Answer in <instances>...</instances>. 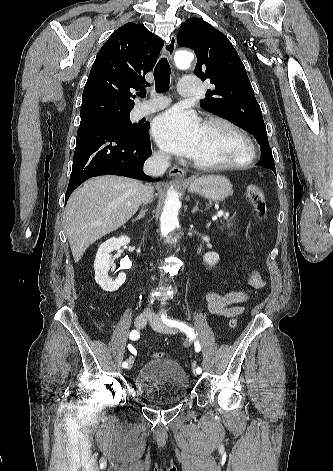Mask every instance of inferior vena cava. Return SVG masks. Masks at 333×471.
<instances>
[{
	"mask_svg": "<svg viewBox=\"0 0 333 471\" xmlns=\"http://www.w3.org/2000/svg\"><path fill=\"white\" fill-rule=\"evenodd\" d=\"M170 156L164 152L154 153L152 157L148 158L144 164V172L152 177H158L165 173L169 167ZM153 188L145 186L142 192V202L148 203L152 200ZM146 312H150L147 308Z\"/></svg>",
	"mask_w": 333,
	"mask_h": 471,
	"instance_id": "602c4592",
	"label": "inferior vena cava"
}]
</instances>
